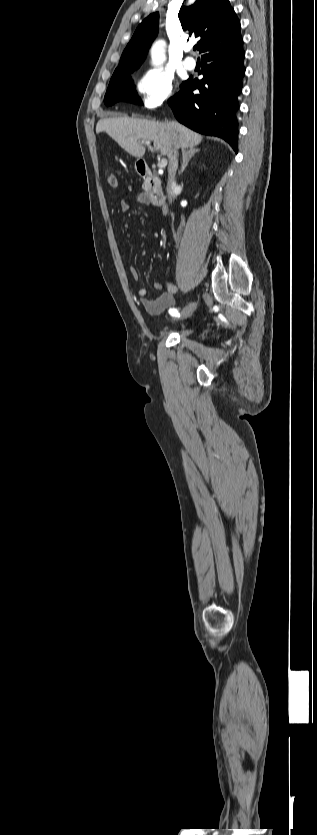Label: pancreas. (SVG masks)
<instances>
[{"label": "pancreas", "instance_id": "cf45deb5", "mask_svg": "<svg viewBox=\"0 0 317 835\" xmlns=\"http://www.w3.org/2000/svg\"><path fill=\"white\" fill-rule=\"evenodd\" d=\"M144 189H145V191H148V185L147 184L144 185Z\"/></svg>", "mask_w": 317, "mask_h": 835}]
</instances>
